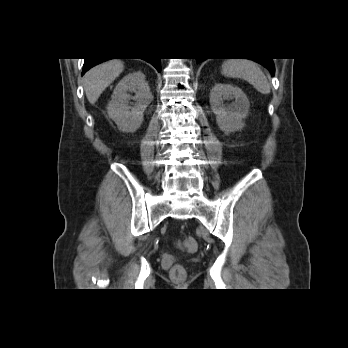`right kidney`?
I'll list each match as a JSON object with an SVG mask.
<instances>
[{"mask_svg": "<svg viewBox=\"0 0 348 348\" xmlns=\"http://www.w3.org/2000/svg\"><path fill=\"white\" fill-rule=\"evenodd\" d=\"M130 92H134L135 96H131ZM130 100L135 103L131 104ZM152 100L145 75L141 71L131 72L114 89L107 108L108 115L121 131L135 132L141 126L143 113Z\"/></svg>", "mask_w": 348, "mask_h": 348, "instance_id": "right-kidney-1", "label": "right kidney"}]
</instances>
